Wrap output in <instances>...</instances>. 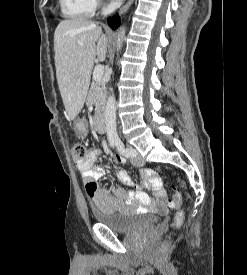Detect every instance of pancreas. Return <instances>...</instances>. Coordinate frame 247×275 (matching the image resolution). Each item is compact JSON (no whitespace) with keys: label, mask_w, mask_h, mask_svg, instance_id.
Listing matches in <instances>:
<instances>
[{"label":"pancreas","mask_w":247,"mask_h":275,"mask_svg":"<svg viewBox=\"0 0 247 275\" xmlns=\"http://www.w3.org/2000/svg\"><path fill=\"white\" fill-rule=\"evenodd\" d=\"M106 96L105 81L103 79L94 80L88 93L87 104L94 105L96 113L100 114L104 109Z\"/></svg>","instance_id":"pancreas-1"}]
</instances>
